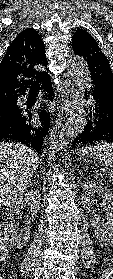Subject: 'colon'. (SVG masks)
<instances>
[{"label": "colon", "mask_w": 113, "mask_h": 279, "mask_svg": "<svg viewBox=\"0 0 113 279\" xmlns=\"http://www.w3.org/2000/svg\"><path fill=\"white\" fill-rule=\"evenodd\" d=\"M6 238L5 233L0 225V255H4L6 253Z\"/></svg>", "instance_id": "obj_1"}]
</instances>
